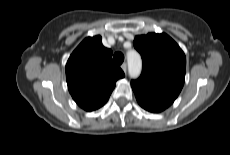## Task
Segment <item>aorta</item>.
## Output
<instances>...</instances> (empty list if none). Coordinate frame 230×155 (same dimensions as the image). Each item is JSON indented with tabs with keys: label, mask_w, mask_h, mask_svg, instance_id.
Here are the masks:
<instances>
[{
	"label": "aorta",
	"mask_w": 230,
	"mask_h": 155,
	"mask_svg": "<svg viewBox=\"0 0 230 155\" xmlns=\"http://www.w3.org/2000/svg\"><path fill=\"white\" fill-rule=\"evenodd\" d=\"M127 61L130 76L132 78H137L140 75L142 69V61L140 55L135 51H130L127 54Z\"/></svg>",
	"instance_id": "762f6f07"
}]
</instances>
